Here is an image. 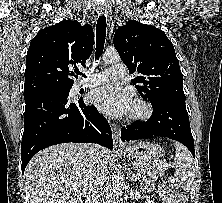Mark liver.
I'll return each instance as SVG.
<instances>
[{"mask_svg": "<svg viewBox=\"0 0 222 203\" xmlns=\"http://www.w3.org/2000/svg\"><path fill=\"white\" fill-rule=\"evenodd\" d=\"M105 165L110 153L99 147ZM91 159L88 145L63 143L37 153L24 172L30 203H70L89 188Z\"/></svg>", "mask_w": 222, "mask_h": 203, "instance_id": "liver-1", "label": "liver"}]
</instances>
